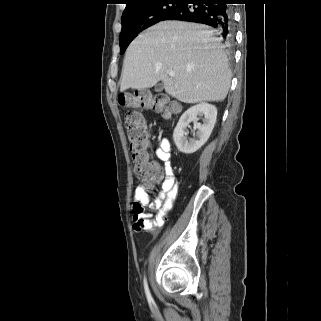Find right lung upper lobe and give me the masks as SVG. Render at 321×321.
Returning <instances> with one entry per match:
<instances>
[{"mask_svg": "<svg viewBox=\"0 0 321 321\" xmlns=\"http://www.w3.org/2000/svg\"><path fill=\"white\" fill-rule=\"evenodd\" d=\"M126 8L122 14L123 16H126L130 13H132L134 10L140 8L141 6L145 5L147 2L153 1V0H126Z\"/></svg>", "mask_w": 321, "mask_h": 321, "instance_id": "obj_1", "label": "right lung upper lobe"}]
</instances>
